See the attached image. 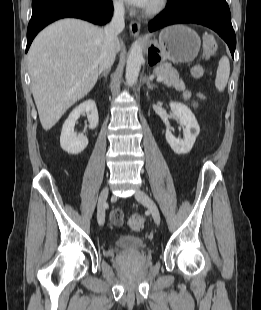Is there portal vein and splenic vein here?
Here are the masks:
<instances>
[{"mask_svg": "<svg viewBox=\"0 0 261 310\" xmlns=\"http://www.w3.org/2000/svg\"><path fill=\"white\" fill-rule=\"evenodd\" d=\"M163 79H164V78H163V77H161V76L157 77V81H158V82L163 81Z\"/></svg>", "mask_w": 261, "mask_h": 310, "instance_id": "portal-vein-and-splenic-vein-1", "label": "portal vein and splenic vein"}]
</instances>
